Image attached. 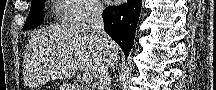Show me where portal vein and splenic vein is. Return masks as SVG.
<instances>
[{
	"instance_id": "18ae733b",
	"label": "portal vein and splenic vein",
	"mask_w": 216,
	"mask_h": 90,
	"mask_svg": "<svg viewBox=\"0 0 216 90\" xmlns=\"http://www.w3.org/2000/svg\"><path fill=\"white\" fill-rule=\"evenodd\" d=\"M92 76H89V74H83L82 76V80H84V82H90Z\"/></svg>"
}]
</instances>
